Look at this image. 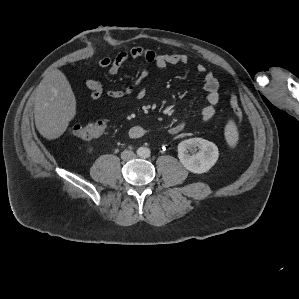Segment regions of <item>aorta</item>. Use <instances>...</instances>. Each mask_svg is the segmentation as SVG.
I'll return each instance as SVG.
<instances>
[{"instance_id": "1", "label": "aorta", "mask_w": 299, "mask_h": 299, "mask_svg": "<svg viewBox=\"0 0 299 299\" xmlns=\"http://www.w3.org/2000/svg\"><path fill=\"white\" fill-rule=\"evenodd\" d=\"M137 154L140 156V157H149L150 156V149L147 148V147H140L138 150H137Z\"/></svg>"}]
</instances>
